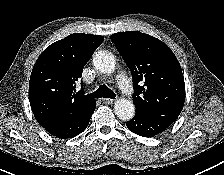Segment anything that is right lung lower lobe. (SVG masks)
Here are the masks:
<instances>
[{
  "instance_id": "obj_1",
  "label": "right lung lower lobe",
  "mask_w": 224,
  "mask_h": 175,
  "mask_svg": "<svg viewBox=\"0 0 224 175\" xmlns=\"http://www.w3.org/2000/svg\"><path fill=\"white\" fill-rule=\"evenodd\" d=\"M95 108L96 104L83 113L67 116L45 129L50 134L61 139L72 138L86 129Z\"/></svg>"
}]
</instances>
